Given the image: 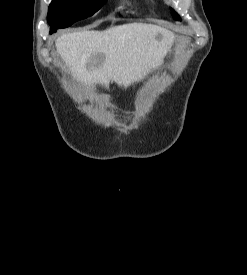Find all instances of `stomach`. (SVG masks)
<instances>
[{
	"instance_id": "1",
	"label": "stomach",
	"mask_w": 247,
	"mask_h": 275,
	"mask_svg": "<svg viewBox=\"0 0 247 275\" xmlns=\"http://www.w3.org/2000/svg\"><path fill=\"white\" fill-rule=\"evenodd\" d=\"M172 54V49L168 50L166 53V57L171 58Z\"/></svg>"
}]
</instances>
